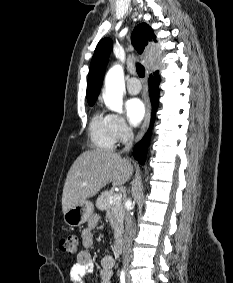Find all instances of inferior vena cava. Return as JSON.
Wrapping results in <instances>:
<instances>
[{
  "instance_id": "602c4592",
  "label": "inferior vena cava",
  "mask_w": 233,
  "mask_h": 283,
  "mask_svg": "<svg viewBox=\"0 0 233 283\" xmlns=\"http://www.w3.org/2000/svg\"><path fill=\"white\" fill-rule=\"evenodd\" d=\"M133 132L129 130V139L125 143V147L122 152H128L133 143ZM125 216V234H124V245H123V266L127 268L131 259V251H132V239L134 235V225L132 221V217L130 215L129 210H126L124 213Z\"/></svg>"
}]
</instances>
